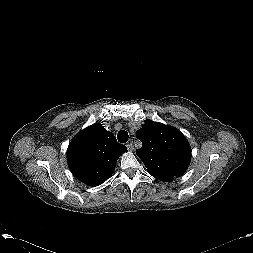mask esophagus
Masks as SVG:
<instances>
[{"label": "esophagus", "mask_w": 253, "mask_h": 253, "mask_svg": "<svg viewBox=\"0 0 253 253\" xmlns=\"http://www.w3.org/2000/svg\"><path fill=\"white\" fill-rule=\"evenodd\" d=\"M126 147H127L128 151H133L134 150V146H133L132 142L127 143Z\"/></svg>", "instance_id": "esophagus-1"}]
</instances>
